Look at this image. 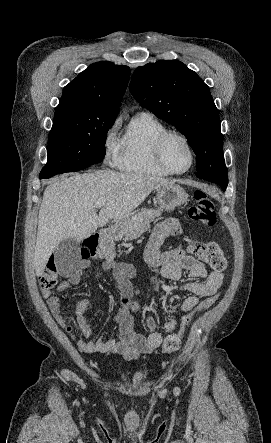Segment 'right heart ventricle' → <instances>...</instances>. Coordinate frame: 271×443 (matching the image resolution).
I'll list each match as a JSON object with an SVG mask.
<instances>
[{"label":"right heart ventricle","instance_id":"e07e8e85","mask_svg":"<svg viewBox=\"0 0 271 443\" xmlns=\"http://www.w3.org/2000/svg\"><path fill=\"white\" fill-rule=\"evenodd\" d=\"M167 126L148 112L132 117L121 139V150L116 165L120 170L165 177L168 173L157 162L154 155L156 139Z\"/></svg>","mask_w":271,"mask_h":443}]
</instances>
